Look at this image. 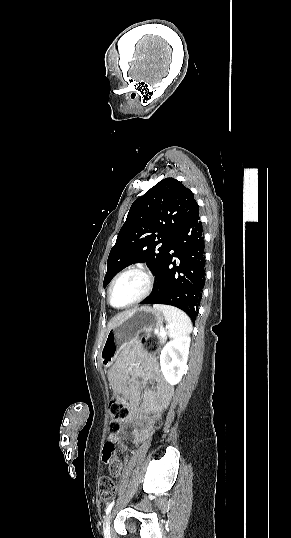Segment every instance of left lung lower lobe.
Instances as JSON below:
<instances>
[{
	"label": "left lung lower lobe",
	"instance_id": "1",
	"mask_svg": "<svg viewBox=\"0 0 291 538\" xmlns=\"http://www.w3.org/2000/svg\"><path fill=\"white\" fill-rule=\"evenodd\" d=\"M177 258V261L173 258ZM202 223L197 211L176 233L155 273L152 293L140 304H166L185 311L195 322L205 284Z\"/></svg>",
	"mask_w": 291,
	"mask_h": 538
}]
</instances>
